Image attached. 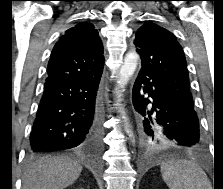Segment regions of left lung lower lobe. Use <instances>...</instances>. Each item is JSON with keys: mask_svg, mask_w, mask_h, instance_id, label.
I'll use <instances>...</instances> for the list:
<instances>
[{"mask_svg": "<svg viewBox=\"0 0 223 189\" xmlns=\"http://www.w3.org/2000/svg\"><path fill=\"white\" fill-rule=\"evenodd\" d=\"M132 100L141 132L150 135L156 128L170 140L172 147L181 150L200 148L202 140L194 108L178 101L150 69L141 67L133 86Z\"/></svg>", "mask_w": 223, "mask_h": 189, "instance_id": "obj_1", "label": "left lung lower lobe"}]
</instances>
